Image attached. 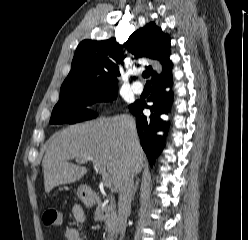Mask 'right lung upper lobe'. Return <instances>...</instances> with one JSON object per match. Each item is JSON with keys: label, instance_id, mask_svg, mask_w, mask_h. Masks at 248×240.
I'll list each match as a JSON object with an SVG mask.
<instances>
[{"label": "right lung upper lobe", "instance_id": "obj_1", "mask_svg": "<svg viewBox=\"0 0 248 240\" xmlns=\"http://www.w3.org/2000/svg\"><path fill=\"white\" fill-rule=\"evenodd\" d=\"M123 46L137 58L147 57L161 63L160 74L151 66L147 67L152 73V83L171 74L173 64L169 59L170 38L154 22L133 32ZM120 48L121 45L114 38L104 41L83 40L76 49L71 71L63 82L60 92L83 88L117 89L119 64L125 57L123 52H120Z\"/></svg>", "mask_w": 248, "mask_h": 240}]
</instances>
